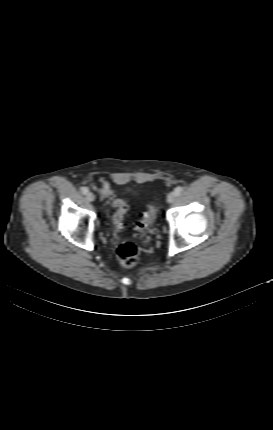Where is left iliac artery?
Wrapping results in <instances>:
<instances>
[{
  "label": "left iliac artery",
  "mask_w": 273,
  "mask_h": 430,
  "mask_svg": "<svg viewBox=\"0 0 273 430\" xmlns=\"http://www.w3.org/2000/svg\"><path fill=\"white\" fill-rule=\"evenodd\" d=\"M182 192H183V187H181V186H177L174 190V193L176 196L181 195Z\"/></svg>",
  "instance_id": "left-iliac-artery-1"
}]
</instances>
